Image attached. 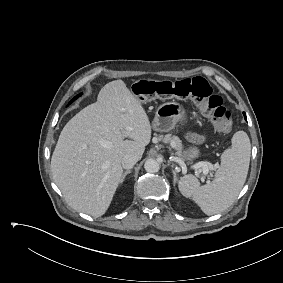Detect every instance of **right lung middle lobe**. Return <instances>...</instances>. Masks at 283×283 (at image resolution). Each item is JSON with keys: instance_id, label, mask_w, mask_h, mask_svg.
Instances as JSON below:
<instances>
[{"instance_id": "dd1d6c3e", "label": "right lung middle lobe", "mask_w": 283, "mask_h": 283, "mask_svg": "<svg viewBox=\"0 0 283 283\" xmlns=\"http://www.w3.org/2000/svg\"><path fill=\"white\" fill-rule=\"evenodd\" d=\"M81 94H78L77 96H75L70 102L69 104H71L75 99H77Z\"/></svg>"}]
</instances>
